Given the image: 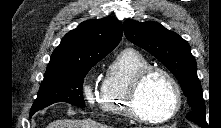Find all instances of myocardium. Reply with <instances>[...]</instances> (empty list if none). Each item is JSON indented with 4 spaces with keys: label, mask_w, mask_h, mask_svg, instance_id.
<instances>
[{
    "label": "myocardium",
    "mask_w": 221,
    "mask_h": 128,
    "mask_svg": "<svg viewBox=\"0 0 221 128\" xmlns=\"http://www.w3.org/2000/svg\"><path fill=\"white\" fill-rule=\"evenodd\" d=\"M154 74H162L169 82L173 93V104L170 109L163 115L157 118L145 115L137 106L138 93L144 82ZM181 91L176 79L165 69L155 66H149L140 71L133 79L127 96V109L129 114L140 121L150 124H160L174 118L181 109Z\"/></svg>",
    "instance_id": "myocardium-1"
}]
</instances>
